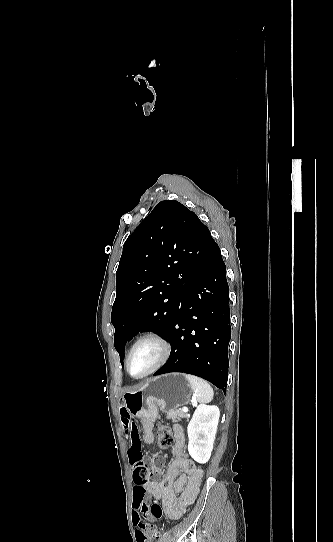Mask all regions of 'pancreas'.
Instances as JSON below:
<instances>
[{
	"instance_id": "obj_1",
	"label": "pancreas",
	"mask_w": 333,
	"mask_h": 542,
	"mask_svg": "<svg viewBox=\"0 0 333 542\" xmlns=\"http://www.w3.org/2000/svg\"><path fill=\"white\" fill-rule=\"evenodd\" d=\"M166 418L172 420V422H180L181 418H189V416L182 410H169V412H166Z\"/></svg>"
}]
</instances>
